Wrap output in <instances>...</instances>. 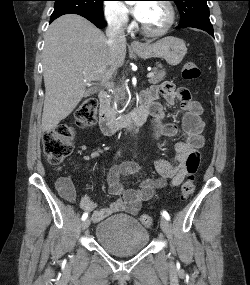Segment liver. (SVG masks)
I'll use <instances>...</instances> for the list:
<instances>
[{
	"label": "liver",
	"mask_w": 250,
	"mask_h": 285,
	"mask_svg": "<svg viewBox=\"0 0 250 285\" xmlns=\"http://www.w3.org/2000/svg\"><path fill=\"white\" fill-rule=\"evenodd\" d=\"M126 56V43L115 50L104 33L85 18L68 14L48 28L43 49L45 100L42 131L54 129L83 97L110 79ZM95 82L93 87L88 84Z\"/></svg>",
	"instance_id": "6515ba94"
}]
</instances>
